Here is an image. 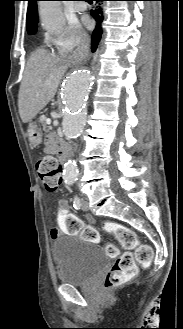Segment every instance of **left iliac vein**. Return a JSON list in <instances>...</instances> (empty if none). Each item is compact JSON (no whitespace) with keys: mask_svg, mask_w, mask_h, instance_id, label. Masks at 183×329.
I'll return each mask as SVG.
<instances>
[{"mask_svg":"<svg viewBox=\"0 0 183 329\" xmlns=\"http://www.w3.org/2000/svg\"><path fill=\"white\" fill-rule=\"evenodd\" d=\"M81 208L83 211H88L89 210V205L87 200H82Z\"/></svg>","mask_w":183,"mask_h":329,"instance_id":"obj_1","label":"left iliac vein"}]
</instances>
